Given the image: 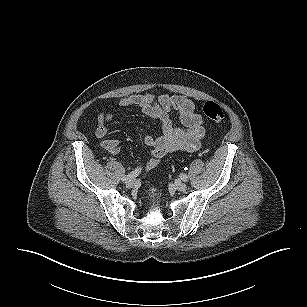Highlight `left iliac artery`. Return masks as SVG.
Wrapping results in <instances>:
<instances>
[{
    "label": "left iliac artery",
    "mask_w": 307,
    "mask_h": 307,
    "mask_svg": "<svg viewBox=\"0 0 307 307\" xmlns=\"http://www.w3.org/2000/svg\"><path fill=\"white\" fill-rule=\"evenodd\" d=\"M180 178H181V180H183L185 182L188 181V176L186 174H181Z\"/></svg>",
    "instance_id": "44dca946"
}]
</instances>
